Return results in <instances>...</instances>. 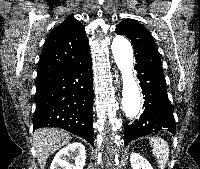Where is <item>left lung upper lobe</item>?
I'll use <instances>...</instances> for the list:
<instances>
[{
    "label": "left lung upper lobe",
    "mask_w": 200,
    "mask_h": 169,
    "mask_svg": "<svg viewBox=\"0 0 200 169\" xmlns=\"http://www.w3.org/2000/svg\"><path fill=\"white\" fill-rule=\"evenodd\" d=\"M116 33L125 35L131 40L136 62L153 65L162 71L156 44L145 27L133 20L125 19L117 26Z\"/></svg>",
    "instance_id": "1"
}]
</instances>
